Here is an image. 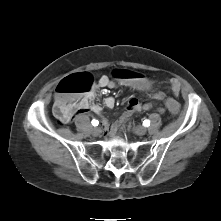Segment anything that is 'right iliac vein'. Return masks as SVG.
Listing matches in <instances>:
<instances>
[{"label":"right iliac vein","mask_w":221,"mask_h":221,"mask_svg":"<svg viewBox=\"0 0 221 221\" xmlns=\"http://www.w3.org/2000/svg\"><path fill=\"white\" fill-rule=\"evenodd\" d=\"M101 132H102V130H101L100 127H94V128L92 129V134H93L94 136H99V135L101 134Z\"/></svg>","instance_id":"1"}]
</instances>
